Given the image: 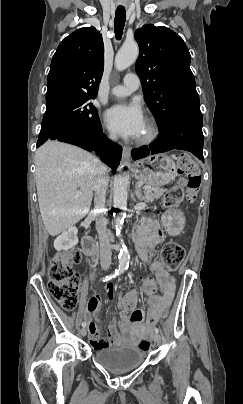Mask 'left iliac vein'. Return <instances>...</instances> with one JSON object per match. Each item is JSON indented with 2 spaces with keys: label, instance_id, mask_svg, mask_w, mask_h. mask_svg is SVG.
Instances as JSON below:
<instances>
[{
  "label": "left iliac vein",
  "instance_id": "left-iliac-vein-1",
  "mask_svg": "<svg viewBox=\"0 0 243 404\" xmlns=\"http://www.w3.org/2000/svg\"><path fill=\"white\" fill-rule=\"evenodd\" d=\"M153 340H154V342L155 343H160V340H161V337H160V335L158 334V333H155L154 335H153Z\"/></svg>",
  "mask_w": 243,
  "mask_h": 404
}]
</instances>
